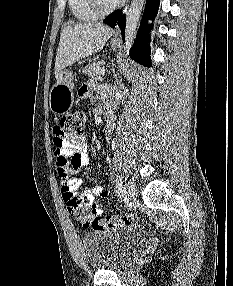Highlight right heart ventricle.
Instances as JSON below:
<instances>
[{
    "label": "right heart ventricle",
    "mask_w": 233,
    "mask_h": 286,
    "mask_svg": "<svg viewBox=\"0 0 233 286\" xmlns=\"http://www.w3.org/2000/svg\"><path fill=\"white\" fill-rule=\"evenodd\" d=\"M68 4L71 13L80 22H91L98 18L89 0H68Z\"/></svg>",
    "instance_id": "right-heart-ventricle-1"
}]
</instances>
